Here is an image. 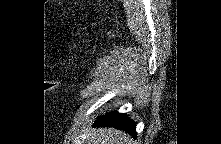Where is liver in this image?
Wrapping results in <instances>:
<instances>
[{"label": "liver", "instance_id": "1", "mask_svg": "<svg viewBox=\"0 0 221 144\" xmlns=\"http://www.w3.org/2000/svg\"><path fill=\"white\" fill-rule=\"evenodd\" d=\"M132 142L128 134L114 128L94 129L89 138V144H132Z\"/></svg>", "mask_w": 221, "mask_h": 144}]
</instances>
